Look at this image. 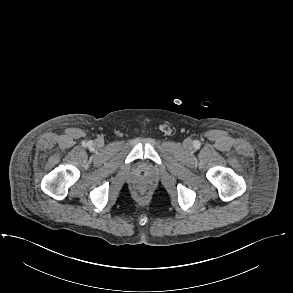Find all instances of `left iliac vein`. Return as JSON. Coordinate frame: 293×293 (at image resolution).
I'll return each instance as SVG.
<instances>
[{
  "mask_svg": "<svg viewBox=\"0 0 293 293\" xmlns=\"http://www.w3.org/2000/svg\"><path fill=\"white\" fill-rule=\"evenodd\" d=\"M185 144H186V146H189V145L191 144V141L187 140V141L185 142Z\"/></svg>",
  "mask_w": 293,
  "mask_h": 293,
  "instance_id": "4c4485c4",
  "label": "left iliac vein"
}]
</instances>
